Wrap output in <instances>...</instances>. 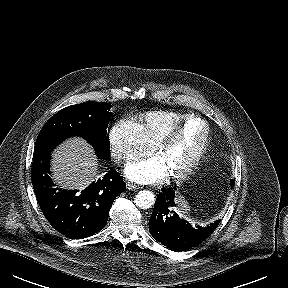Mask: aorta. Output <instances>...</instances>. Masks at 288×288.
<instances>
[{"label":"aorta","instance_id":"762f6f07","mask_svg":"<svg viewBox=\"0 0 288 288\" xmlns=\"http://www.w3.org/2000/svg\"><path fill=\"white\" fill-rule=\"evenodd\" d=\"M134 200L140 209H148L155 203V195L151 191L143 190L137 193Z\"/></svg>","mask_w":288,"mask_h":288}]
</instances>
